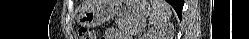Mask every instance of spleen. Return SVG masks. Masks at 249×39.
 <instances>
[{
  "label": "spleen",
  "mask_w": 249,
  "mask_h": 39,
  "mask_svg": "<svg viewBox=\"0 0 249 39\" xmlns=\"http://www.w3.org/2000/svg\"><path fill=\"white\" fill-rule=\"evenodd\" d=\"M153 7V13L150 16V22L155 26H161L167 22L171 15V6L164 0H150Z\"/></svg>",
  "instance_id": "3e777b00"
}]
</instances>
